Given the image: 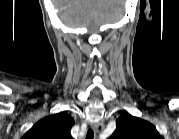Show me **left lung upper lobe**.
Here are the masks:
<instances>
[{
	"mask_svg": "<svg viewBox=\"0 0 179 139\" xmlns=\"http://www.w3.org/2000/svg\"><path fill=\"white\" fill-rule=\"evenodd\" d=\"M116 122L117 127L111 139H160L156 128L138 117L123 114Z\"/></svg>",
	"mask_w": 179,
	"mask_h": 139,
	"instance_id": "1",
	"label": "left lung upper lobe"
}]
</instances>
